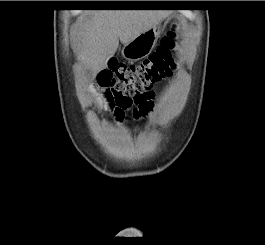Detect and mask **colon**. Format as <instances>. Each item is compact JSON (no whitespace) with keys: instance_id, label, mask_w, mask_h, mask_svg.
Here are the masks:
<instances>
[{"instance_id":"1","label":"colon","mask_w":265,"mask_h":245,"mask_svg":"<svg viewBox=\"0 0 265 245\" xmlns=\"http://www.w3.org/2000/svg\"><path fill=\"white\" fill-rule=\"evenodd\" d=\"M174 48L175 33L171 31L143 61L137 64L110 62L98 75L104 108L120 117L131 108L137 113L146 112L152 104V87L169 78L176 67Z\"/></svg>"}]
</instances>
